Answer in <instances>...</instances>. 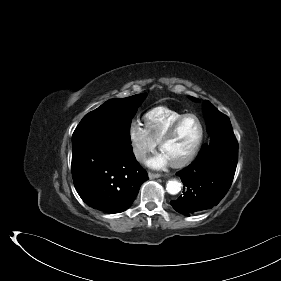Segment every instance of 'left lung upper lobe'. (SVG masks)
Here are the masks:
<instances>
[{
  "mask_svg": "<svg viewBox=\"0 0 281 281\" xmlns=\"http://www.w3.org/2000/svg\"><path fill=\"white\" fill-rule=\"evenodd\" d=\"M193 100L197 99L193 98ZM204 111L207 131L210 134L208 147L214 150L238 148L229 117L221 113L207 100L204 101Z\"/></svg>",
  "mask_w": 281,
  "mask_h": 281,
  "instance_id": "obj_1",
  "label": "left lung upper lobe"
}]
</instances>
